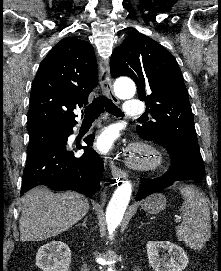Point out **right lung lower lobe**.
I'll list each match as a JSON object with an SVG mask.
<instances>
[{
    "instance_id": "1",
    "label": "right lung lower lobe",
    "mask_w": 221,
    "mask_h": 271,
    "mask_svg": "<svg viewBox=\"0 0 221 271\" xmlns=\"http://www.w3.org/2000/svg\"><path fill=\"white\" fill-rule=\"evenodd\" d=\"M76 124L70 127L63 143L41 146L28 152L21 195L41 185L52 190H74L89 195L100 189L104 168L98 154L91 147H81L84 154L74 157V152L66 148L67 139ZM93 140V135L84 139L88 145H92Z\"/></svg>"
}]
</instances>
